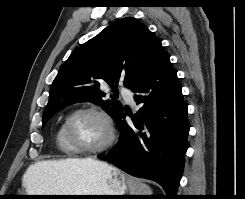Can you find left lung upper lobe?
<instances>
[{"instance_id":"1","label":"left lung upper lobe","mask_w":245,"mask_h":199,"mask_svg":"<svg viewBox=\"0 0 245 199\" xmlns=\"http://www.w3.org/2000/svg\"><path fill=\"white\" fill-rule=\"evenodd\" d=\"M161 50V41L135 18H123L109 25L75 49L60 67L51 85L42 127L64 107L87 101L101 105L115 120L123 106L113 94L112 100H103L106 94L100 85L106 82L116 93L117 83L123 79L131 89Z\"/></svg>"}]
</instances>
